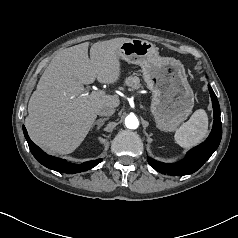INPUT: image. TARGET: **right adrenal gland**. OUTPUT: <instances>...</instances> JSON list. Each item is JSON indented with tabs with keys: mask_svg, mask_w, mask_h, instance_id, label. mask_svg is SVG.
<instances>
[{
	"mask_svg": "<svg viewBox=\"0 0 238 238\" xmlns=\"http://www.w3.org/2000/svg\"><path fill=\"white\" fill-rule=\"evenodd\" d=\"M109 119V117H106V118H100V119H98V120H96L94 123H93V125H92V127L94 126V125H97V130H99L103 125H104V122L106 121V120H108Z\"/></svg>",
	"mask_w": 238,
	"mask_h": 238,
	"instance_id": "right-adrenal-gland-1",
	"label": "right adrenal gland"
}]
</instances>
